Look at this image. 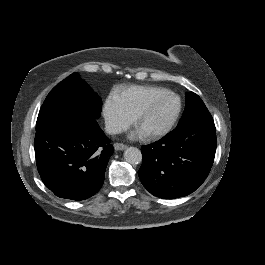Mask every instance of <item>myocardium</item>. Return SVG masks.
I'll return each instance as SVG.
<instances>
[{
  "label": "myocardium",
  "mask_w": 265,
  "mask_h": 265,
  "mask_svg": "<svg viewBox=\"0 0 265 265\" xmlns=\"http://www.w3.org/2000/svg\"><path fill=\"white\" fill-rule=\"evenodd\" d=\"M161 93H167L170 94L172 96H174L177 100H178V109L175 112V114L167 119L166 121H164L163 123H161L158 127H156L155 129L149 131V132H143L144 135L148 138H156L162 134H164L179 118L182 109H183V101L182 98L180 97V95H178L177 93H175L174 91L170 90V89H158L156 90L145 102V104L141 107V109L137 112V114L135 115V120H136V124L138 123V120L148 111V109L150 108V106L152 105L155 97Z\"/></svg>",
  "instance_id": "f54148a6"
}]
</instances>
